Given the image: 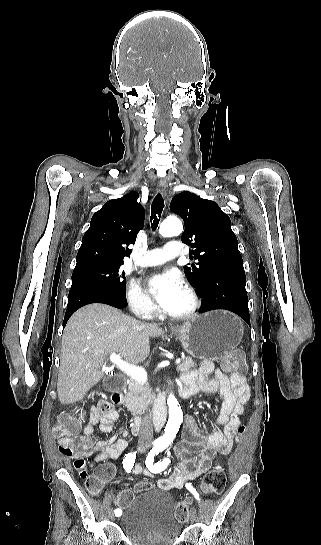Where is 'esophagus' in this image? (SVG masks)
Listing matches in <instances>:
<instances>
[{
  "instance_id": "1",
  "label": "esophagus",
  "mask_w": 321,
  "mask_h": 545,
  "mask_svg": "<svg viewBox=\"0 0 321 545\" xmlns=\"http://www.w3.org/2000/svg\"><path fill=\"white\" fill-rule=\"evenodd\" d=\"M167 188V185H162V192L166 194Z\"/></svg>"
}]
</instances>
